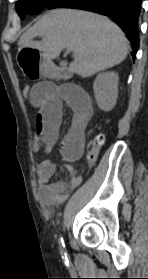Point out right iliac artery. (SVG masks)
<instances>
[{
	"label": "right iliac artery",
	"mask_w": 148,
	"mask_h": 279,
	"mask_svg": "<svg viewBox=\"0 0 148 279\" xmlns=\"http://www.w3.org/2000/svg\"><path fill=\"white\" fill-rule=\"evenodd\" d=\"M59 249L62 255H66V248L62 237L59 239Z\"/></svg>",
	"instance_id": "1"
}]
</instances>
